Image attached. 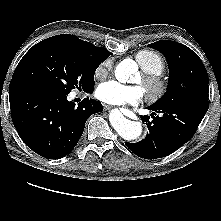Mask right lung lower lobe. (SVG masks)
I'll return each mask as SVG.
<instances>
[{"instance_id":"obj_1","label":"right lung lower lobe","mask_w":221,"mask_h":221,"mask_svg":"<svg viewBox=\"0 0 221 221\" xmlns=\"http://www.w3.org/2000/svg\"><path fill=\"white\" fill-rule=\"evenodd\" d=\"M66 96L21 80L10 83L13 124L24 143L42 157L58 159L70 153L89 116L103 110L100 102L89 98L75 107Z\"/></svg>"}]
</instances>
